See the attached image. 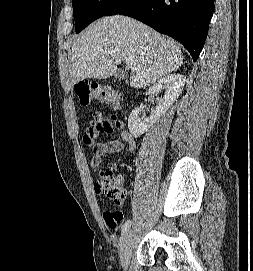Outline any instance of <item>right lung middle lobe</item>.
Returning a JSON list of instances; mask_svg holds the SVG:
<instances>
[{
	"instance_id": "right-lung-middle-lobe-1",
	"label": "right lung middle lobe",
	"mask_w": 253,
	"mask_h": 271,
	"mask_svg": "<svg viewBox=\"0 0 253 271\" xmlns=\"http://www.w3.org/2000/svg\"><path fill=\"white\" fill-rule=\"evenodd\" d=\"M124 2L125 0H73L76 33L102 16L115 15Z\"/></svg>"
}]
</instances>
